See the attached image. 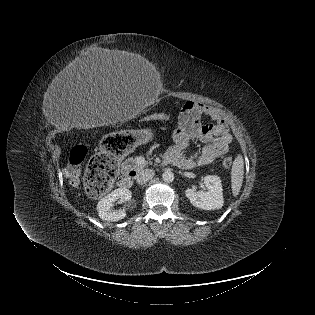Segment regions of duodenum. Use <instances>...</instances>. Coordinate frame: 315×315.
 Listing matches in <instances>:
<instances>
[{
  "label": "duodenum",
  "instance_id": "1",
  "mask_svg": "<svg viewBox=\"0 0 315 315\" xmlns=\"http://www.w3.org/2000/svg\"><path fill=\"white\" fill-rule=\"evenodd\" d=\"M136 175L133 169H125L121 179L118 182V186L121 188H129L132 183V178Z\"/></svg>",
  "mask_w": 315,
  "mask_h": 315
}]
</instances>
